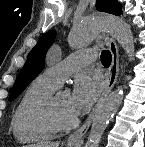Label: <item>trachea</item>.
Masks as SVG:
<instances>
[{
  "instance_id": "obj_1",
  "label": "trachea",
  "mask_w": 145,
  "mask_h": 147,
  "mask_svg": "<svg viewBox=\"0 0 145 147\" xmlns=\"http://www.w3.org/2000/svg\"><path fill=\"white\" fill-rule=\"evenodd\" d=\"M112 60V55L110 53V51L108 50H104L101 53V62L104 66H109Z\"/></svg>"
}]
</instances>
